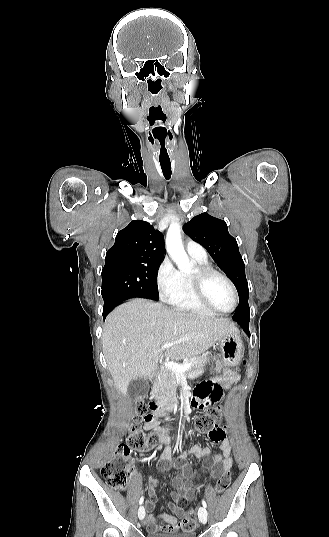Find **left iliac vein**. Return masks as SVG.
<instances>
[{"label": "left iliac vein", "instance_id": "1", "mask_svg": "<svg viewBox=\"0 0 329 537\" xmlns=\"http://www.w3.org/2000/svg\"><path fill=\"white\" fill-rule=\"evenodd\" d=\"M198 518L201 523L206 524L208 519V513L205 507H200L198 510Z\"/></svg>", "mask_w": 329, "mask_h": 537}]
</instances>
